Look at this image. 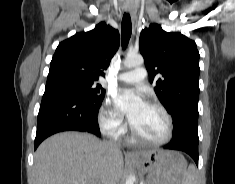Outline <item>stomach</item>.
I'll return each mask as SVG.
<instances>
[{"mask_svg":"<svg viewBox=\"0 0 235 184\" xmlns=\"http://www.w3.org/2000/svg\"><path fill=\"white\" fill-rule=\"evenodd\" d=\"M133 164L146 174V184H182L187 162L180 152L156 150L149 156H134Z\"/></svg>","mask_w":235,"mask_h":184,"instance_id":"0dacf381","label":"stomach"}]
</instances>
